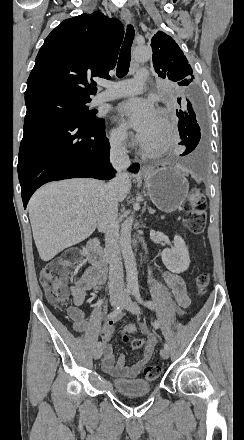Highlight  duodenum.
<instances>
[{
	"mask_svg": "<svg viewBox=\"0 0 244 440\" xmlns=\"http://www.w3.org/2000/svg\"><path fill=\"white\" fill-rule=\"evenodd\" d=\"M85 254L87 260L94 268L100 270L102 273H106L110 263V257L99 249V242L96 239L88 241Z\"/></svg>",
	"mask_w": 244,
	"mask_h": 440,
	"instance_id": "1",
	"label": "duodenum"
}]
</instances>
